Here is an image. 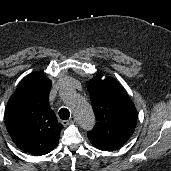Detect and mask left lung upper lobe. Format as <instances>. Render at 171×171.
Segmentation results:
<instances>
[{
  "label": "left lung upper lobe",
  "instance_id": "5c2ea615",
  "mask_svg": "<svg viewBox=\"0 0 171 171\" xmlns=\"http://www.w3.org/2000/svg\"><path fill=\"white\" fill-rule=\"evenodd\" d=\"M96 125L88 133L91 143L115 150L132 136L137 111L123 87L114 79H101V75L88 82Z\"/></svg>",
  "mask_w": 171,
  "mask_h": 171
}]
</instances>
